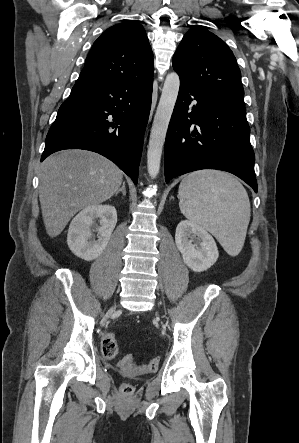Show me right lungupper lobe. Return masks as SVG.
Listing matches in <instances>:
<instances>
[{
	"mask_svg": "<svg viewBox=\"0 0 299 443\" xmlns=\"http://www.w3.org/2000/svg\"><path fill=\"white\" fill-rule=\"evenodd\" d=\"M154 74L151 47L142 25L125 21L94 42L74 86H97Z\"/></svg>",
	"mask_w": 299,
	"mask_h": 443,
	"instance_id": "cb5924a9",
	"label": "right lung upper lobe"
}]
</instances>
